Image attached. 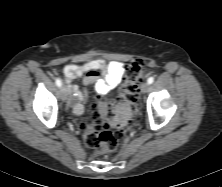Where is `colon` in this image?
<instances>
[{
    "label": "colon",
    "mask_w": 222,
    "mask_h": 187,
    "mask_svg": "<svg viewBox=\"0 0 222 187\" xmlns=\"http://www.w3.org/2000/svg\"><path fill=\"white\" fill-rule=\"evenodd\" d=\"M143 60H135L125 74V84L116 102L103 101L99 109L94 110V120L81 125V132L86 146L100 153H113L117 150L125 133L127 124L141 118L138 92L142 81ZM115 126V131L109 130Z\"/></svg>",
    "instance_id": "obj_1"
}]
</instances>
